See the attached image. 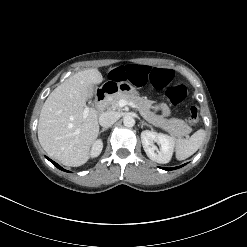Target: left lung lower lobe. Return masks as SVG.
I'll use <instances>...</instances> for the list:
<instances>
[{
    "instance_id": "left-lung-lower-lobe-1",
    "label": "left lung lower lobe",
    "mask_w": 247,
    "mask_h": 247,
    "mask_svg": "<svg viewBox=\"0 0 247 247\" xmlns=\"http://www.w3.org/2000/svg\"><path fill=\"white\" fill-rule=\"evenodd\" d=\"M182 166H184V165H182ZM182 166L173 167V168H162V169L169 171V170H174V169L180 168V167H182Z\"/></svg>"
}]
</instances>
